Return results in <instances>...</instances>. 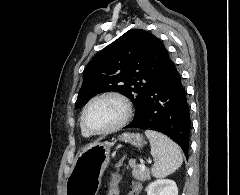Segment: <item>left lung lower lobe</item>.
Segmentation results:
<instances>
[{
    "label": "left lung lower lobe",
    "mask_w": 240,
    "mask_h": 195,
    "mask_svg": "<svg viewBox=\"0 0 240 195\" xmlns=\"http://www.w3.org/2000/svg\"><path fill=\"white\" fill-rule=\"evenodd\" d=\"M186 95L180 74L170 60L165 75L150 88L145 104L125 128L161 132L187 155L191 120Z\"/></svg>",
    "instance_id": "obj_1"
}]
</instances>
